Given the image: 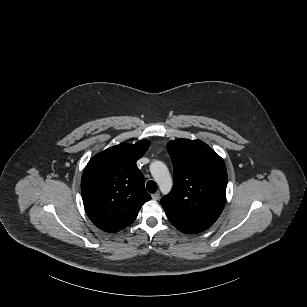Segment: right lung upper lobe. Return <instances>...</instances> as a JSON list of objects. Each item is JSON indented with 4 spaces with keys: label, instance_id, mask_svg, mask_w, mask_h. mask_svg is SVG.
<instances>
[{
    "label": "right lung upper lobe",
    "instance_id": "cb5924a9",
    "mask_svg": "<svg viewBox=\"0 0 307 307\" xmlns=\"http://www.w3.org/2000/svg\"><path fill=\"white\" fill-rule=\"evenodd\" d=\"M150 146L148 140L121 143L94 156L81 179L84 208L100 229L117 232L129 226L151 199L136 165Z\"/></svg>",
    "mask_w": 307,
    "mask_h": 307
}]
</instances>
